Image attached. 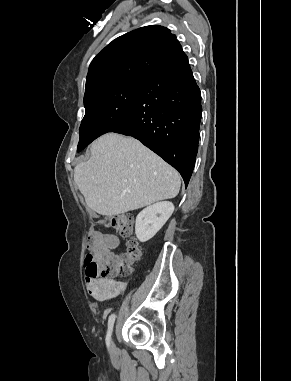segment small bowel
I'll list each match as a JSON object with an SVG mask.
<instances>
[{
	"label": "small bowel",
	"mask_w": 291,
	"mask_h": 381,
	"mask_svg": "<svg viewBox=\"0 0 291 381\" xmlns=\"http://www.w3.org/2000/svg\"><path fill=\"white\" fill-rule=\"evenodd\" d=\"M92 243L98 249L110 250L119 245L118 237L94 230L91 234ZM85 284L88 293L96 300L104 301L120 295L126 288V283L114 278L86 277Z\"/></svg>",
	"instance_id": "obj_1"
}]
</instances>
